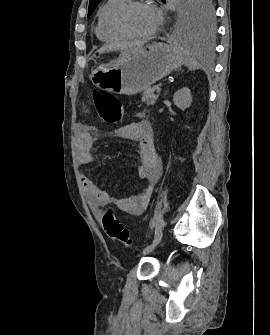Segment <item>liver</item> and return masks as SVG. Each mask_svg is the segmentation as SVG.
Instances as JSON below:
<instances>
[{
    "label": "liver",
    "instance_id": "6515ba94",
    "mask_svg": "<svg viewBox=\"0 0 270 335\" xmlns=\"http://www.w3.org/2000/svg\"><path fill=\"white\" fill-rule=\"evenodd\" d=\"M135 46H138V48H141L140 44H123L121 46L120 50H126V52H132V50H136ZM110 46H102L100 50H97L99 54H102V52H106V50H109Z\"/></svg>",
    "mask_w": 270,
    "mask_h": 335
}]
</instances>
